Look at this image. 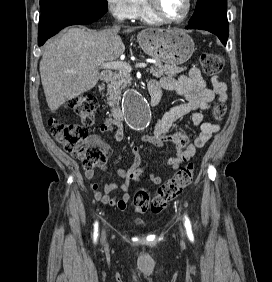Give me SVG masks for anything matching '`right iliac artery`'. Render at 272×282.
<instances>
[{
  "instance_id": "1",
  "label": "right iliac artery",
  "mask_w": 272,
  "mask_h": 282,
  "mask_svg": "<svg viewBox=\"0 0 272 282\" xmlns=\"http://www.w3.org/2000/svg\"><path fill=\"white\" fill-rule=\"evenodd\" d=\"M97 232H98V223L96 222L94 226V235H93L94 242H96L98 236Z\"/></svg>"
}]
</instances>
